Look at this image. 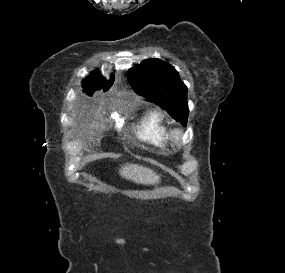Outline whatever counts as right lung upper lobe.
Here are the masks:
<instances>
[{
  "label": "right lung upper lobe",
  "mask_w": 285,
  "mask_h": 273,
  "mask_svg": "<svg viewBox=\"0 0 285 273\" xmlns=\"http://www.w3.org/2000/svg\"><path fill=\"white\" fill-rule=\"evenodd\" d=\"M114 82V76L112 75L109 81H106L105 78H103L98 71H93L91 73V76L87 77L83 81V90L88 94L92 95L95 90L104 88V91H106L108 88H110L113 85Z\"/></svg>",
  "instance_id": "obj_1"
}]
</instances>
